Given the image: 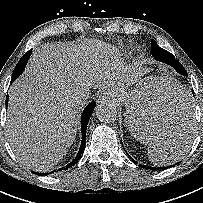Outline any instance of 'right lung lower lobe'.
Instances as JSON below:
<instances>
[{"label": "right lung lower lobe", "instance_id": "right-lung-lower-lobe-1", "mask_svg": "<svg viewBox=\"0 0 203 203\" xmlns=\"http://www.w3.org/2000/svg\"><path fill=\"white\" fill-rule=\"evenodd\" d=\"M32 54V50H29L28 52H26L22 58L19 60V62L17 63L16 66L21 67L22 69L25 68L27 61L29 60L30 56ZM13 81L11 80V83ZM7 102H8V97L6 98V106H7ZM96 102L92 101L83 111L82 115H81V129H82V142H81V146L80 149L78 151L77 156L73 159L72 162H70L68 165H66L63 168H59L57 171H61V170H67L68 168L74 166L78 160L81 158L84 149H85V145H86V128L89 122V119L93 113V110L95 108ZM55 171H52L50 173H37L38 175H48L51 174Z\"/></svg>", "mask_w": 203, "mask_h": 203}]
</instances>
